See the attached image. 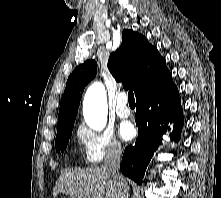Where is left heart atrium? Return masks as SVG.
<instances>
[{"label":"left heart atrium","instance_id":"39dd6f15","mask_svg":"<svg viewBox=\"0 0 221 198\" xmlns=\"http://www.w3.org/2000/svg\"><path fill=\"white\" fill-rule=\"evenodd\" d=\"M119 134L123 140H131L135 134L136 130L130 122H125L120 126Z\"/></svg>","mask_w":221,"mask_h":198}]
</instances>
